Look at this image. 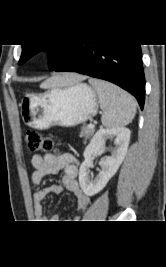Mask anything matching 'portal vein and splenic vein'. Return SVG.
<instances>
[{
  "label": "portal vein and splenic vein",
  "mask_w": 166,
  "mask_h": 267,
  "mask_svg": "<svg viewBox=\"0 0 166 267\" xmlns=\"http://www.w3.org/2000/svg\"><path fill=\"white\" fill-rule=\"evenodd\" d=\"M88 128H94V125L90 123V124L88 125Z\"/></svg>",
  "instance_id": "1"
}]
</instances>
